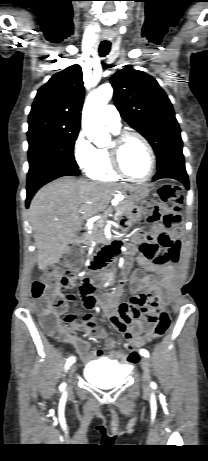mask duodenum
Instances as JSON below:
<instances>
[{
	"mask_svg": "<svg viewBox=\"0 0 208 461\" xmlns=\"http://www.w3.org/2000/svg\"><path fill=\"white\" fill-rule=\"evenodd\" d=\"M88 239V233L86 230L81 229L77 232V241L81 244L86 243ZM113 244L120 243V240L112 241ZM110 260L108 244L94 257L92 265L94 269L100 268L106 261ZM96 278V277H95Z\"/></svg>",
	"mask_w": 208,
	"mask_h": 461,
	"instance_id": "1",
	"label": "duodenum"
}]
</instances>
